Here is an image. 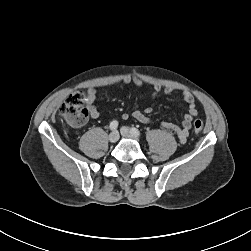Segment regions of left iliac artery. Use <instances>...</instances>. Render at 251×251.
<instances>
[{"label":"left iliac artery","mask_w":251,"mask_h":251,"mask_svg":"<svg viewBox=\"0 0 251 251\" xmlns=\"http://www.w3.org/2000/svg\"><path fill=\"white\" fill-rule=\"evenodd\" d=\"M131 132L137 136H140V131L137 128H131Z\"/></svg>","instance_id":"1"}]
</instances>
